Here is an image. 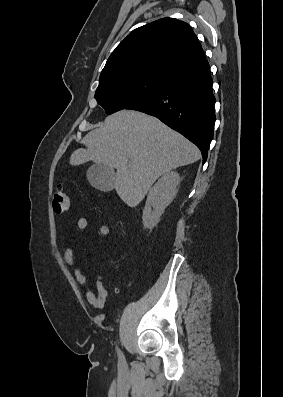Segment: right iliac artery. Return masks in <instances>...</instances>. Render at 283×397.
Masks as SVG:
<instances>
[{"instance_id": "right-iliac-artery-1", "label": "right iliac artery", "mask_w": 283, "mask_h": 397, "mask_svg": "<svg viewBox=\"0 0 283 397\" xmlns=\"http://www.w3.org/2000/svg\"><path fill=\"white\" fill-rule=\"evenodd\" d=\"M119 356H120L121 359L123 358V355H122V353L120 352V350H119Z\"/></svg>"}]
</instances>
